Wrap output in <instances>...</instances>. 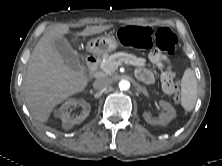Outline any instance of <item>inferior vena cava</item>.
<instances>
[{"instance_id":"1","label":"inferior vena cava","mask_w":222,"mask_h":166,"mask_svg":"<svg viewBox=\"0 0 222 166\" xmlns=\"http://www.w3.org/2000/svg\"><path fill=\"white\" fill-rule=\"evenodd\" d=\"M112 84V80L108 77H103V78H99L97 80H95L94 82V87L96 89H109L111 87Z\"/></svg>"}]
</instances>
